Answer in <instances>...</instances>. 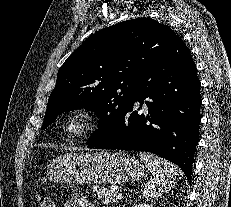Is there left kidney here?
Wrapping results in <instances>:
<instances>
[{
  "label": "left kidney",
  "instance_id": "5707ae66",
  "mask_svg": "<svg viewBox=\"0 0 231 207\" xmlns=\"http://www.w3.org/2000/svg\"><path fill=\"white\" fill-rule=\"evenodd\" d=\"M133 207H152L148 204H135Z\"/></svg>",
  "mask_w": 231,
  "mask_h": 207
}]
</instances>
